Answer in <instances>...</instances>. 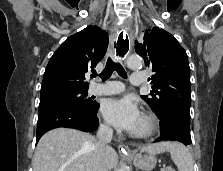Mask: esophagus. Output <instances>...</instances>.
<instances>
[{
    "mask_svg": "<svg viewBox=\"0 0 223 171\" xmlns=\"http://www.w3.org/2000/svg\"><path fill=\"white\" fill-rule=\"evenodd\" d=\"M131 34L129 30H118V41L116 46L115 58L120 56V60H125V54L130 50ZM120 151L123 153H129L130 149L127 145L121 144L119 146Z\"/></svg>",
    "mask_w": 223,
    "mask_h": 171,
    "instance_id": "1",
    "label": "esophagus"
}]
</instances>
